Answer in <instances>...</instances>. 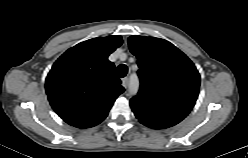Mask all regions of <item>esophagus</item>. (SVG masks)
Returning a JSON list of instances; mask_svg holds the SVG:
<instances>
[{
  "label": "esophagus",
  "instance_id": "1",
  "mask_svg": "<svg viewBox=\"0 0 248 158\" xmlns=\"http://www.w3.org/2000/svg\"><path fill=\"white\" fill-rule=\"evenodd\" d=\"M122 86L124 88H127V86H128V78L127 77H125V78L122 79Z\"/></svg>",
  "mask_w": 248,
  "mask_h": 158
}]
</instances>
